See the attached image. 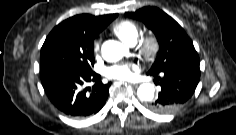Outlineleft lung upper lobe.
Wrapping results in <instances>:
<instances>
[{
	"label": "left lung upper lobe",
	"mask_w": 236,
	"mask_h": 135,
	"mask_svg": "<svg viewBox=\"0 0 236 135\" xmlns=\"http://www.w3.org/2000/svg\"><path fill=\"white\" fill-rule=\"evenodd\" d=\"M126 15L140 20L153 31L160 49L149 70L160 73L175 66H184L192 57H198L192 41L183 28L169 15L156 7H144Z\"/></svg>",
	"instance_id": "5c2ea615"
}]
</instances>
